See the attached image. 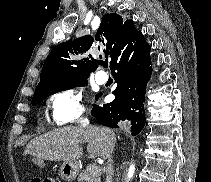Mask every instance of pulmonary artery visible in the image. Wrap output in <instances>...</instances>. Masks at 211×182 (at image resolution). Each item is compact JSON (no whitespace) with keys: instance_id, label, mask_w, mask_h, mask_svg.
I'll return each mask as SVG.
<instances>
[{"instance_id":"e3ab8cb5","label":"pulmonary artery","mask_w":211,"mask_h":182,"mask_svg":"<svg viewBox=\"0 0 211 182\" xmlns=\"http://www.w3.org/2000/svg\"><path fill=\"white\" fill-rule=\"evenodd\" d=\"M107 74L104 71H99L95 75V80L98 84H104L107 81Z\"/></svg>"}]
</instances>
